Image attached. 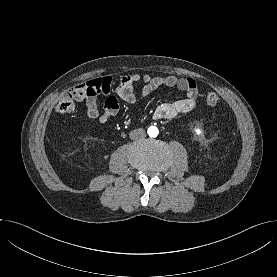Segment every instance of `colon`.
<instances>
[{
  "mask_svg": "<svg viewBox=\"0 0 277 277\" xmlns=\"http://www.w3.org/2000/svg\"><path fill=\"white\" fill-rule=\"evenodd\" d=\"M85 93L83 85L76 86L69 90L58 102L56 111L60 114H69L75 110V102L79 100ZM205 101L208 105L214 106L219 102V95L214 90H207L205 93Z\"/></svg>",
  "mask_w": 277,
  "mask_h": 277,
  "instance_id": "obj_1",
  "label": "colon"
}]
</instances>
